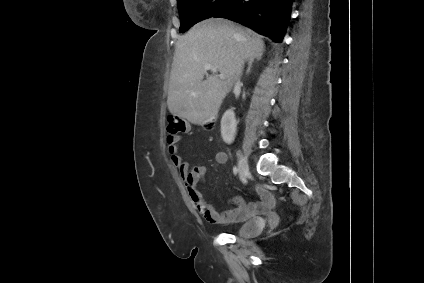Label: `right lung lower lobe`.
<instances>
[{"instance_id":"obj_1","label":"right lung lower lobe","mask_w":424,"mask_h":283,"mask_svg":"<svg viewBox=\"0 0 424 283\" xmlns=\"http://www.w3.org/2000/svg\"><path fill=\"white\" fill-rule=\"evenodd\" d=\"M293 0H232L213 17L227 18L281 42Z\"/></svg>"}]
</instances>
